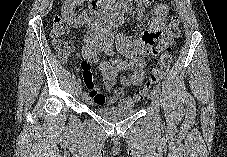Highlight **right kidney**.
<instances>
[{
	"mask_svg": "<svg viewBox=\"0 0 227 157\" xmlns=\"http://www.w3.org/2000/svg\"><path fill=\"white\" fill-rule=\"evenodd\" d=\"M75 5L71 1L65 2L62 6V16L65 18L69 25H77L79 23L81 16L77 17V14L74 11Z\"/></svg>",
	"mask_w": 227,
	"mask_h": 157,
	"instance_id": "1",
	"label": "right kidney"
}]
</instances>
